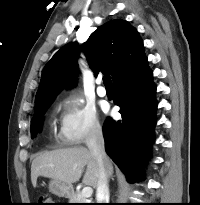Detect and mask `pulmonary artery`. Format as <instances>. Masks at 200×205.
I'll return each instance as SVG.
<instances>
[{
    "label": "pulmonary artery",
    "instance_id": "pulmonary-artery-1",
    "mask_svg": "<svg viewBox=\"0 0 200 205\" xmlns=\"http://www.w3.org/2000/svg\"><path fill=\"white\" fill-rule=\"evenodd\" d=\"M97 94L100 97H105L107 95L105 88L101 85V81H99V86L97 87Z\"/></svg>",
    "mask_w": 200,
    "mask_h": 205
}]
</instances>
